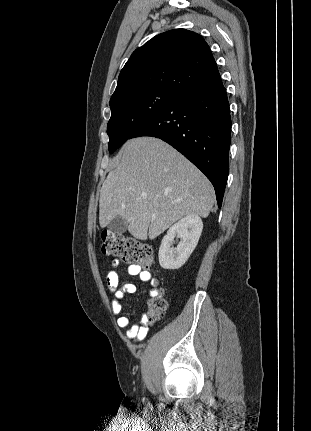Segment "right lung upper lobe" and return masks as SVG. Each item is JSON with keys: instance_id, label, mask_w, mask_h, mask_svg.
Wrapping results in <instances>:
<instances>
[{"instance_id": "obj_1", "label": "right lung upper lobe", "mask_w": 311, "mask_h": 431, "mask_svg": "<svg viewBox=\"0 0 311 431\" xmlns=\"http://www.w3.org/2000/svg\"><path fill=\"white\" fill-rule=\"evenodd\" d=\"M219 76L206 41L195 32L174 29L155 36L132 53L111 98L144 89L181 94Z\"/></svg>"}]
</instances>
